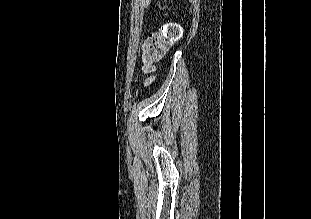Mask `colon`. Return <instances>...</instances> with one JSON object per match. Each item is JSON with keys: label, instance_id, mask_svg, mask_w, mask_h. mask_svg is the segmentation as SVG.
<instances>
[{"label": "colon", "instance_id": "1", "mask_svg": "<svg viewBox=\"0 0 311 219\" xmlns=\"http://www.w3.org/2000/svg\"><path fill=\"white\" fill-rule=\"evenodd\" d=\"M182 36L179 24H164L160 31L150 34L144 43V57L147 62L157 61L164 57L171 46Z\"/></svg>", "mask_w": 311, "mask_h": 219}]
</instances>
